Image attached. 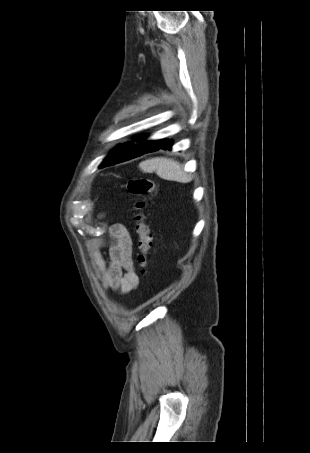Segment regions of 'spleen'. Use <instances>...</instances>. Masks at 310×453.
Segmentation results:
<instances>
[{
	"instance_id": "3e777b00",
	"label": "spleen",
	"mask_w": 310,
	"mask_h": 453,
	"mask_svg": "<svg viewBox=\"0 0 310 453\" xmlns=\"http://www.w3.org/2000/svg\"><path fill=\"white\" fill-rule=\"evenodd\" d=\"M140 169L148 173L156 172L164 180L181 183H187L192 180L191 175L183 170L182 165L170 158L158 157L145 160L140 164Z\"/></svg>"
}]
</instances>
